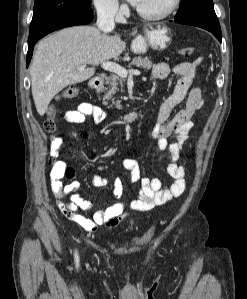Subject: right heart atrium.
Wrapping results in <instances>:
<instances>
[{"label":"right heart atrium","instance_id":"d8ad5b80","mask_svg":"<svg viewBox=\"0 0 247 299\" xmlns=\"http://www.w3.org/2000/svg\"><path fill=\"white\" fill-rule=\"evenodd\" d=\"M97 14L104 19H117L124 10L120 0H93Z\"/></svg>","mask_w":247,"mask_h":299}]
</instances>
